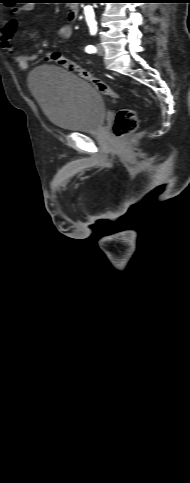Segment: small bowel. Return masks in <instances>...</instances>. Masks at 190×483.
Returning <instances> with one entry per match:
<instances>
[{
  "label": "small bowel",
  "mask_w": 190,
  "mask_h": 483,
  "mask_svg": "<svg viewBox=\"0 0 190 483\" xmlns=\"http://www.w3.org/2000/svg\"><path fill=\"white\" fill-rule=\"evenodd\" d=\"M30 6H22L19 9L14 10V15H18L23 11L29 10ZM17 28V21L15 18L9 19L5 25L0 30V44L4 47L7 53L12 57L15 61L17 66L22 69H28L30 65V61L36 58V55H18L14 52V50L10 47V41L16 31ZM72 26L69 24L62 25L58 29V37L61 40H67L72 36Z\"/></svg>",
  "instance_id": "obj_1"
}]
</instances>
